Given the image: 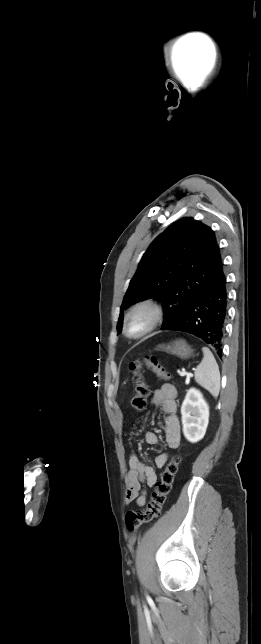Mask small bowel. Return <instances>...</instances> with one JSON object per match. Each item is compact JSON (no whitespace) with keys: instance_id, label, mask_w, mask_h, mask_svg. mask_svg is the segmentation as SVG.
<instances>
[{"instance_id":"c3829d8e","label":"small bowel","mask_w":261,"mask_h":644,"mask_svg":"<svg viewBox=\"0 0 261 644\" xmlns=\"http://www.w3.org/2000/svg\"><path fill=\"white\" fill-rule=\"evenodd\" d=\"M177 390L171 384H163L156 389L151 397V404L159 406L166 414L165 418V440L170 449H177L181 441V426L177 411ZM145 441L149 445H157L159 442L158 435L154 431L145 434ZM168 460V453L162 452L155 457V466L162 468ZM129 469L127 473V491L125 501L127 504L135 502L139 507H143L147 501V492L143 484L152 487L158 480L155 468L145 464L139 457L132 454L129 457Z\"/></svg>"}]
</instances>
